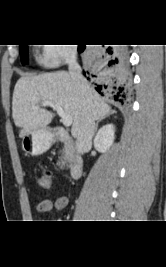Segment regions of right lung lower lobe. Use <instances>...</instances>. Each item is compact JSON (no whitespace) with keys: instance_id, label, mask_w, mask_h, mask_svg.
Masks as SVG:
<instances>
[{"instance_id":"obj_1","label":"right lung lower lobe","mask_w":166,"mask_h":267,"mask_svg":"<svg viewBox=\"0 0 166 267\" xmlns=\"http://www.w3.org/2000/svg\"><path fill=\"white\" fill-rule=\"evenodd\" d=\"M86 45H78L82 53ZM105 60L100 70L90 67L84 71L87 79L92 80L95 89L101 95L112 96L116 101H124L127 97L128 81L126 73V52L123 48L106 49Z\"/></svg>"}]
</instances>
